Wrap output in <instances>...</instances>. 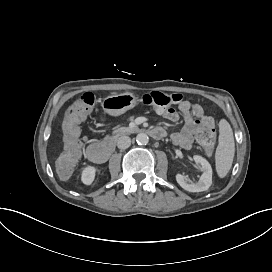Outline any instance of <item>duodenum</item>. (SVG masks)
Returning a JSON list of instances; mask_svg holds the SVG:
<instances>
[{"label": "duodenum", "instance_id": "obj_1", "mask_svg": "<svg viewBox=\"0 0 272 272\" xmlns=\"http://www.w3.org/2000/svg\"><path fill=\"white\" fill-rule=\"evenodd\" d=\"M146 132L154 139H160L164 136V131L160 128L148 129ZM115 142L113 139L108 138L102 142L91 144L86 151L89 160L94 163L105 162L113 153Z\"/></svg>", "mask_w": 272, "mask_h": 272}]
</instances>
